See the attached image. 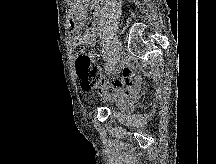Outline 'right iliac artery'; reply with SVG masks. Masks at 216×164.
Returning a JSON list of instances; mask_svg holds the SVG:
<instances>
[{
    "label": "right iliac artery",
    "instance_id": "right-iliac-artery-1",
    "mask_svg": "<svg viewBox=\"0 0 216 164\" xmlns=\"http://www.w3.org/2000/svg\"><path fill=\"white\" fill-rule=\"evenodd\" d=\"M114 52H115V50L111 51V53L109 54V62H111V63L114 61Z\"/></svg>",
    "mask_w": 216,
    "mask_h": 164
}]
</instances>
